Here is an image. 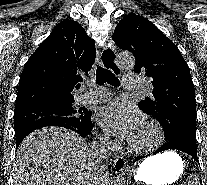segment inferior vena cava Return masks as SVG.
Here are the masks:
<instances>
[{
    "label": "inferior vena cava",
    "instance_id": "1",
    "mask_svg": "<svg viewBox=\"0 0 207 185\" xmlns=\"http://www.w3.org/2000/svg\"><path fill=\"white\" fill-rule=\"evenodd\" d=\"M91 149H95V145H93V147H91Z\"/></svg>",
    "mask_w": 207,
    "mask_h": 185
}]
</instances>
